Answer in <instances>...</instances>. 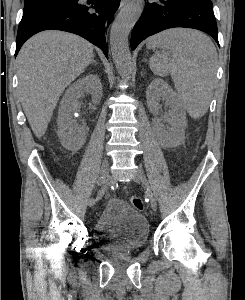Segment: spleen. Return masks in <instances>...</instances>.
<instances>
[{"instance_id": "3e777b00", "label": "spleen", "mask_w": 245, "mask_h": 300, "mask_svg": "<svg viewBox=\"0 0 245 300\" xmlns=\"http://www.w3.org/2000/svg\"><path fill=\"white\" fill-rule=\"evenodd\" d=\"M147 47H161L172 52L171 57L153 55L150 69L162 77L170 73L189 115L202 117L212 98L217 68V51L212 41L198 31L169 29L149 38Z\"/></svg>"}]
</instances>
